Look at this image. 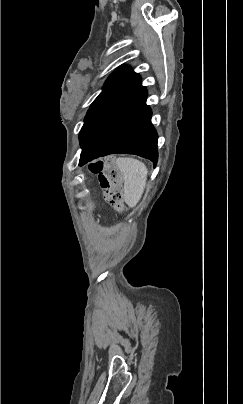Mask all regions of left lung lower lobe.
<instances>
[{
	"mask_svg": "<svg viewBox=\"0 0 243 404\" xmlns=\"http://www.w3.org/2000/svg\"><path fill=\"white\" fill-rule=\"evenodd\" d=\"M141 86L103 113L85 138L79 165L109 154H136L157 164V132Z\"/></svg>",
	"mask_w": 243,
	"mask_h": 404,
	"instance_id": "0a47b994",
	"label": "left lung lower lobe"
}]
</instances>
